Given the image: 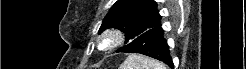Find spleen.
Instances as JSON below:
<instances>
[{"instance_id":"spleen-1","label":"spleen","mask_w":246,"mask_h":69,"mask_svg":"<svg viewBox=\"0 0 246 69\" xmlns=\"http://www.w3.org/2000/svg\"><path fill=\"white\" fill-rule=\"evenodd\" d=\"M120 69H167L163 63L137 54H130Z\"/></svg>"}]
</instances>
